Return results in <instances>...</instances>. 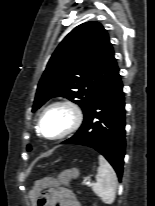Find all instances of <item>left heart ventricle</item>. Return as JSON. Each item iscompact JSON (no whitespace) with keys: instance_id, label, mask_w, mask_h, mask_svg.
Returning <instances> with one entry per match:
<instances>
[{"instance_id":"obj_1","label":"left heart ventricle","mask_w":155,"mask_h":206,"mask_svg":"<svg viewBox=\"0 0 155 206\" xmlns=\"http://www.w3.org/2000/svg\"><path fill=\"white\" fill-rule=\"evenodd\" d=\"M68 123V112L63 109H55L44 117L42 131L46 136H56L67 127Z\"/></svg>"}]
</instances>
